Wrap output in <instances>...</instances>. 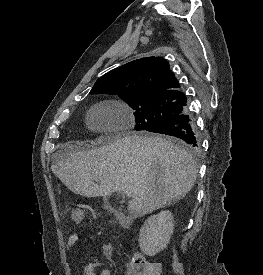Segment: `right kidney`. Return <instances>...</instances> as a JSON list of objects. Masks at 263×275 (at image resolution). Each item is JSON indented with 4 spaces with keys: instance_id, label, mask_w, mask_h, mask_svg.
Here are the masks:
<instances>
[{
    "instance_id": "obj_1",
    "label": "right kidney",
    "mask_w": 263,
    "mask_h": 275,
    "mask_svg": "<svg viewBox=\"0 0 263 275\" xmlns=\"http://www.w3.org/2000/svg\"><path fill=\"white\" fill-rule=\"evenodd\" d=\"M174 230V218L170 211L150 216L139 233V246L143 253L154 256L168 244Z\"/></svg>"
}]
</instances>
